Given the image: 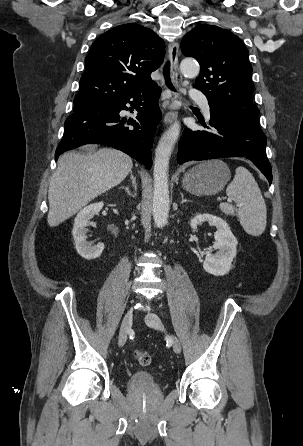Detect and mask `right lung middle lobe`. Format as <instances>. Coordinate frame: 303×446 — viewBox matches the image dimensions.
Segmentation results:
<instances>
[{
	"mask_svg": "<svg viewBox=\"0 0 303 446\" xmlns=\"http://www.w3.org/2000/svg\"><path fill=\"white\" fill-rule=\"evenodd\" d=\"M89 101H86V100H83V99H79V98H75L74 99V111H78V110H81V109H85V108H88V107H91V106H89Z\"/></svg>",
	"mask_w": 303,
	"mask_h": 446,
	"instance_id": "obj_1",
	"label": "right lung middle lobe"
}]
</instances>
